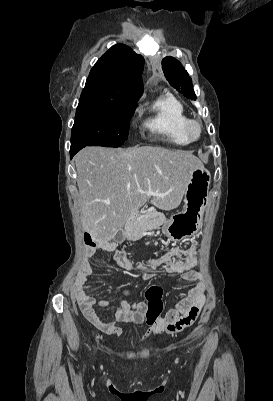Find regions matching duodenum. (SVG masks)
<instances>
[{"label":"duodenum","mask_w":273,"mask_h":401,"mask_svg":"<svg viewBox=\"0 0 273 401\" xmlns=\"http://www.w3.org/2000/svg\"><path fill=\"white\" fill-rule=\"evenodd\" d=\"M136 219H137V214L132 213L128 218L127 227H129Z\"/></svg>","instance_id":"duodenum-1"}]
</instances>
